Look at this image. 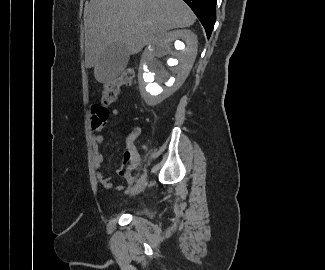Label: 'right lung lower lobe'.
<instances>
[{
	"instance_id": "98d812e1",
	"label": "right lung lower lobe",
	"mask_w": 325,
	"mask_h": 270,
	"mask_svg": "<svg viewBox=\"0 0 325 270\" xmlns=\"http://www.w3.org/2000/svg\"><path fill=\"white\" fill-rule=\"evenodd\" d=\"M196 14L209 38L216 21L217 0H184Z\"/></svg>"
}]
</instances>
